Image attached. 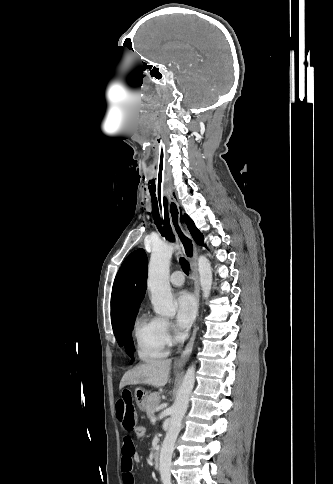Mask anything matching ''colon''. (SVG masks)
Instances as JSON below:
<instances>
[{"instance_id": "colon-1", "label": "colon", "mask_w": 333, "mask_h": 484, "mask_svg": "<svg viewBox=\"0 0 333 484\" xmlns=\"http://www.w3.org/2000/svg\"><path fill=\"white\" fill-rule=\"evenodd\" d=\"M147 431H148V430H147V427H146L145 425H143V424H138V425L135 427V429H134V431H133V434H134V436H135V438H136V439L141 440V439H143V438L146 436Z\"/></svg>"}]
</instances>
